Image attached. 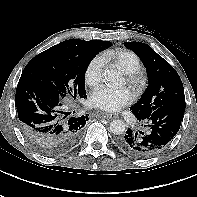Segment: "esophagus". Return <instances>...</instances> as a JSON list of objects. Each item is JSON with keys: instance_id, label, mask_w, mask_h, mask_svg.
Listing matches in <instances>:
<instances>
[{"instance_id": "obj_1", "label": "esophagus", "mask_w": 197, "mask_h": 197, "mask_svg": "<svg viewBox=\"0 0 197 197\" xmlns=\"http://www.w3.org/2000/svg\"><path fill=\"white\" fill-rule=\"evenodd\" d=\"M100 116L106 119H114L117 117L116 114H110V113H101Z\"/></svg>"}]
</instances>
